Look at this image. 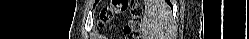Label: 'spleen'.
Wrapping results in <instances>:
<instances>
[{
    "mask_svg": "<svg viewBox=\"0 0 249 39\" xmlns=\"http://www.w3.org/2000/svg\"><path fill=\"white\" fill-rule=\"evenodd\" d=\"M141 28L143 39H168L171 35V17L164 0L145 1Z\"/></svg>",
    "mask_w": 249,
    "mask_h": 39,
    "instance_id": "obj_1",
    "label": "spleen"
}]
</instances>
